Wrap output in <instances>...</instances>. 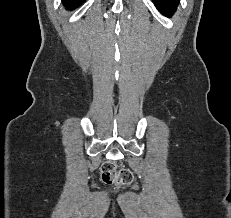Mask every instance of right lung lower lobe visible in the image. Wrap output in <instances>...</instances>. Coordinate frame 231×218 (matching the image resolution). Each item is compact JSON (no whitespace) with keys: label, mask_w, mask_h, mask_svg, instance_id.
I'll return each instance as SVG.
<instances>
[{"label":"right lung lower lobe","mask_w":231,"mask_h":218,"mask_svg":"<svg viewBox=\"0 0 231 218\" xmlns=\"http://www.w3.org/2000/svg\"><path fill=\"white\" fill-rule=\"evenodd\" d=\"M67 9H74L81 5L85 0H62Z\"/></svg>","instance_id":"right-lung-lower-lobe-1"}]
</instances>
